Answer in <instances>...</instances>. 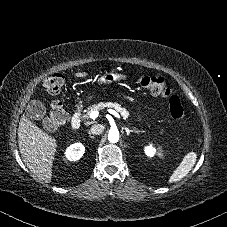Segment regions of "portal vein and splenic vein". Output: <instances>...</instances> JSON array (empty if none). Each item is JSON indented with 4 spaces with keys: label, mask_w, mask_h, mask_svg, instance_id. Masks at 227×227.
I'll return each instance as SVG.
<instances>
[{
    "label": "portal vein and splenic vein",
    "mask_w": 227,
    "mask_h": 227,
    "mask_svg": "<svg viewBox=\"0 0 227 227\" xmlns=\"http://www.w3.org/2000/svg\"><path fill=\"white\" fill-rule=\"evenodd\" d=\"M109 112H110L111 114H113L115 117L120 118V115H119L116 111H114V110H109ZM98 115H99V112L95 110V111H92V112L89 114V117H90L91 119H96V118L98 117Z\"/></svg>",
    "instance_id": "1"
}]
</instances>
